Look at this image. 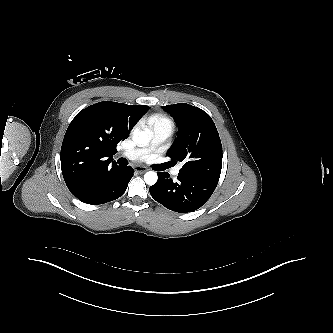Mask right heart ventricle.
Listing matches in <instances>:
<instances>
[{
    "mask_svg": "<svg viewBox=\"0 0 333 333\" xmlns=\"http://www.w3.org/2000/svg\"><path fill=\"white\" fill-rule=\"evenodd\" d=\"M150 123L154 127V126H156L158 124H162V123H171V121L166 117L157 116V117L151 118Z\"/></svg>",
    "mask_w": 333,
    "mask_h": 333,
    "instance_id": "1",
    "label": "right heart ventricle"
}]
</instances>
